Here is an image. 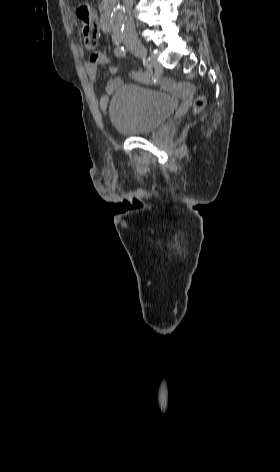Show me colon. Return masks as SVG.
<instances>
[{
	"label": "colon",
	"instance_id": "5ec220e1",
	"mask_svg": "<svg viewBox=\"0 0 280 472\" xmlns=\"http://www.w3.org/2000/svg\"><path fill=\"white\" fill-rule=\"evenodd\" d=\"M76 14L81 24L85 44L89 49H93L100 37L97 13L89 3L80 1L76 5ZM205 102V97L199 95L193 103L194 113L200 112L204 108Z\"/></svg>",
	"mask_w": 280,
	"mask_h": 472
}]
</instances>
